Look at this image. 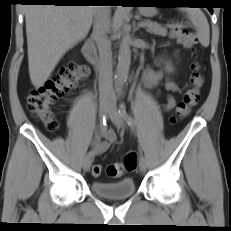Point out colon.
I'll list each match as a JSON object with an SVG mask.
<instances>
[{"instance_id": "obj_1", "label": "colon", "mask_w": 231, "mask_h": 231, "mask_svg": "<svg viewBox=\"0 0 231 231\" xmlns=\"http://www.w3.org/2000/svg\"><path fill=\"white\" fill-rule=\"evenodd\" d=\"M170 35L178 42L188 48H195L198 44L196 35L189 31L178 21L169 22ZM88 76L86 66L78 63H70L54 73L42 86L31 90L27 98V104L30 112L37 117L46 128L55 132L58 127V121L55 119L52 107L55 102L65 96L69 91L80 85ZM191 88L185 93L176 107V114L172 117V122L185 117L192 107L200 100V90L203 85V75L198 63L192 65ZM138 157L136 152L126 153L121 163L110 164L106 173L110 177H120L124 172H132L137 168ZM102 173L101 165L92 167V175L99 177Z\"/></svg>"}]
</instances>
